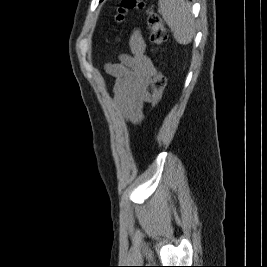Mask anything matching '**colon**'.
<instances>
[{
	"label": "colon",
	"instance_id": "obj_1",
	"mask_svg": "<svg viewBox=\"0 0 267 267\" xmlns=\"http://www.w3.org/2000/svg\"><path fill=\"white\" fill-rule=\"evenodd\" d=\"M144 3L142 0H122L118 7L116 20L123 21L125 14L128 10L133 8H143ZM150 40L158 50L167 40V28L163 19L153 11H149L147 20ZM166 86V77L159 71L155 74L151 88H152V101L154 105H159L162 95Z\"/></svg>",
	"mask_w": 267,
	"mask_h": 267
}]
</instances>
